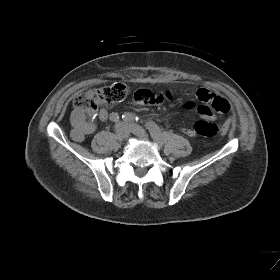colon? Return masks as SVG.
<instances>
[{"label": "colon", "mask_w": 280, "mask_h": 280, "mask_svg": "<svg viewBox=\"0 0 280 280\" xmlns=\"http://www.w3.org/2000/svg\"><path fill=\"white\" fill-rule=\"evenodd\" d=\"M129 94V87L124 83H114L109 86L90 89L78 94L73 105L76 110L93 116L101 106H112L122 102ZM196 135L212 137L224 133L222 126H217L209 120L197 121L192 127Z\"/></svg>", "instance_id": "obj_1"}]
</instances>
